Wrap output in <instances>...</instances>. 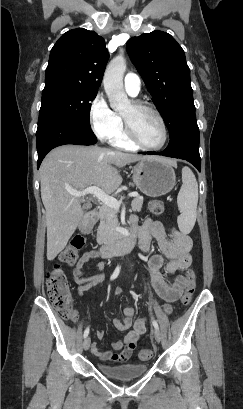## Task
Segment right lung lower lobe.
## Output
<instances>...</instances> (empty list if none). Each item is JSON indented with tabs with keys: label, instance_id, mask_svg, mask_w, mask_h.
I'll list each match as a JSON object with an SVG mask.
<instances>
[{
	"label": "right lung lower lobe",
	"instance_id": "1",
	"mask_svg": "<svg viewBox=\"0 0 243 409\" xmlns=\"http://www.w3.org/2000/svg\"><path fill=\"white\" fill-rule=\"evenodd\" d=\"M37 152L39 168L45 155L53 148L65 145H92L97 142L91 127L65 123L50 122L37 129Z\"/></svg>",
	"mask_w": 243,
	"mask_h": 409
}]
</instances>
